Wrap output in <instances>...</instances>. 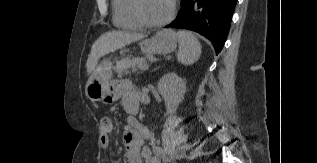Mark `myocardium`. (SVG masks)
Here are the masks:
<instances>
[{"instance_id": "1", "label": "myocardium", "mask_w": 317, "mask_h": 163, "mask_svg": "<svg viewBox=\"0 0 317 163\" xmlns=\"http://www.w3.org/2000/svg\"><path fill=\"white\" fill-rule=\"evenodd\" d=\"M131 1H132L131 8H132L134 17L142 26L147 28L163 27L169 24L177 13L178 0H172V7L168 16L161 21L152 22V21H149L143 14L142 7H141L142 0H131Z\"/></svg>"}]
</instances>
